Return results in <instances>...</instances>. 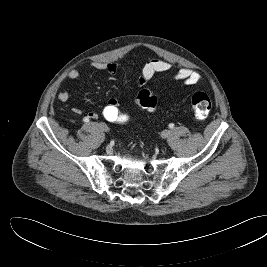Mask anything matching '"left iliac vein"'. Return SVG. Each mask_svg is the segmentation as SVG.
Instances as JSON below:
<instances>
[{"instance_id":"left-iliac-vein-1","label":"left iliac vein","mask_w":267,"mask_h":267,"mask_svg":"<svg viewBox=\"0 0 267 267\" xmlns=\"http://www.w3.org/2000/svg\"><path fill=\"white\" fill-rule=\"evenodd\" d=\"M170 134H171V131L170 130H164L161 133V137L164 138V139H166V138H168L170 136Z\"/></svg>"}]
</instances>
